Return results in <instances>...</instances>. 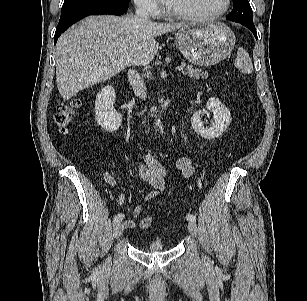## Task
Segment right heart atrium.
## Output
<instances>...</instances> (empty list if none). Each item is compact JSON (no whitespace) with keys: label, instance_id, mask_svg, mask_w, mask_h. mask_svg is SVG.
Instances as JSON below:
<instances>
[{"label":"right heart atrium","instance_id":"1","mask_svg":"<svg viewBox=\"0 0 307 301\" xmlns=\"http://www.w3.org/2000/svg\"><path fill=\"white\" fill-rule=\"evenodd\" d=\"M138 11L151 17H157L160 12V6L157 0H133Z\"/></svg>","mask_w":307,"mask_h":301}]
</instances>
